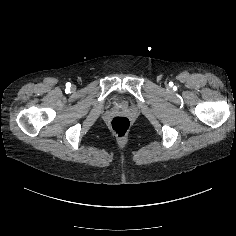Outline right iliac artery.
Here are the masks:
<instances>
[{
    "instance_id": "obj_1",
    "label": "right iliac artery",
    "mask_w": 236,
    "mask_h": 236,
    "mask_svg": "<svg viewBox=\"0 0 236 236\" xmlns=\"http://www.w3.org/2000/svg\"><path fill=\"white\" fill-rule=\"evenodd\" d=\"M66 87H67V89H69L71 87V84L69 82L66 83Z\"/></svg>"
}]
</instances>
